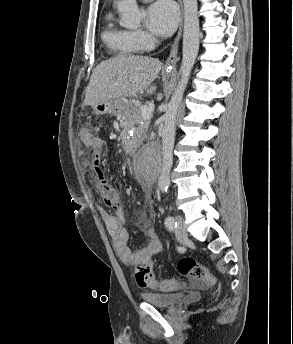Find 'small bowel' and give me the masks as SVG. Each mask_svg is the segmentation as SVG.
Wrapping results in <instances>:
<instances>
[{
    "label": "small bowel",
    "instance_id": "small-bowel-1",
    "mask_svg": "<svg viewBox=\"0 0 293 344\" xmlns=\"http://www.w3.org/2000/svg\"><path fill=\"white\" fill-rule=\"evenodd\" d=\"M79 141L80 144L90 148L102 149L105 145L102 138L92 135L87 130L79 131ZM98 168L100 169L101 166H98ZM100 213L113 247L124 264L128 266L144 264L162 251V242L152 225H147L146 227L149 243L140 250L132 251L127 246L129 232L123 226L125 221L123 208L118 206L114 213H109L105 210H101Z\"/></svg>",
    "mask_w": 293,
    "mask_h": 344
}]
</instances>
